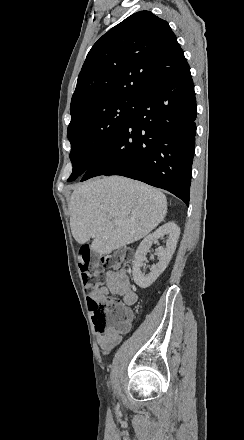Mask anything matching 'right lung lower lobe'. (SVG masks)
<instances>
[{"mask_svg": "<svg viewBox=\"0 0 244 440\" xmlns=\"http://www.w3.org/2000/svg\"><path fill=\"white\" fill-rule=\"evenodd\" d=\"M195 119L194 85L186 61L150 84L128 124L81 181L121 175L165 189L189 205Z\"/></svg>", "mask_w": 244, "mask_h": 440, "instance_id": "right-lung-lower-lobe-1", "label": "right lung lower lobe"}]
</instances>
